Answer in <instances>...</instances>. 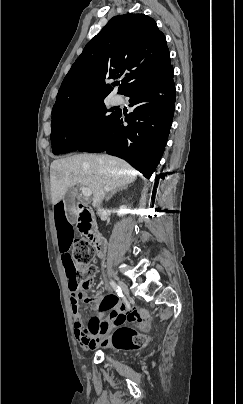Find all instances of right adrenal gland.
Returning a JSON list of instances; mask_svg holds the SVG:
<instances>
[{"mask_svg":"<svg viewBox=\"0 0 243 404\" xmlns=\"http://www.w3.org/2000/svg\"><path fill=\"white\" fill-rule=\"evenodd\" d=\"M121 190H126V186H120V188H115V190H111V192H109L108 198H106V202H108V200H111L114 194H117V192H121Z\"/></svg>","mask_w":243,"mask_h":404,"instance_id":"obj_1","label":"right adrenal gland"}]
</instances>
